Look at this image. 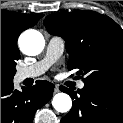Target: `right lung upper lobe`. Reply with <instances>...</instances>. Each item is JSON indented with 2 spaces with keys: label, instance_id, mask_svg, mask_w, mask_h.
<instances>
[{
  "label": "right lung upper lobe",
  "instance_id": "1",
  "mask_svg": "<svg viewBox=\"0 0 123 123\" xmlns=\"http://www.w3.org/2000/svg\"><path fill=\"white\" fill-rule=\"evenodd\" d=\"M43 16V14L33 15L1 11V39L17 46L20 33L34 26Z\"/></svg>",
  "mask_w": 123,
  "mask_h": 123
}]
</instances>
